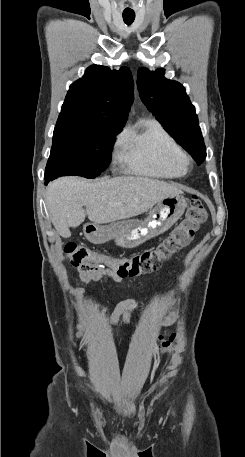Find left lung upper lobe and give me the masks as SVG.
I'll return each mask as SVG.
<instances>
[{"instance_id":"1","label":"left lung upper lobe","mask_w":245,"mask_h":457,"mask_svg":"<svg viewBox=\"0 0 245 457\" xmlns=\"http://www.w3.org/2000/svg\"><path fill=\"white\" fill-rule=\"evenodd\" d=\"M164 73V69L153 72L144 67L139 68L137 87L140 98L164 129L198 164L205 159L206 148L195 108L185 88L176 81L166 79Z\"/></svg>"}]
</instances>
